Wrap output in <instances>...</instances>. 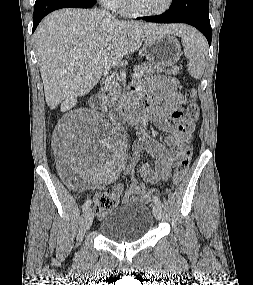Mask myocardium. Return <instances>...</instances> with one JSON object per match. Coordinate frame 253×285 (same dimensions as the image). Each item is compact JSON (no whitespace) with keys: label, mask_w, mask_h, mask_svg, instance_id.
<instances>
[{"label":"myocardium","mask_w":253,"mask_h":285,"mask_svg":"<svg viewBox=\"0 0 253 285\" xmlns=\"http://www.w3.org/2000/svg\"><path fill=\"white\" fill-rule=\"evenodd\" d=\"M174 3V0H167L166 5L157 11H143L135 7L132 0H126V7L128 12H130L132 15L139 16V17H152V16H158L166 13L170 8L172 7Z\"/></svg>","instance_id":"f54148a6"}]
</instances>
